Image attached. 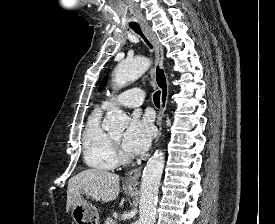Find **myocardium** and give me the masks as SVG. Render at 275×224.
Instances as JSON below:
<instances>
[{"label":"myocardium","mask_w":275,"mask_h":224,"mask_svg":"<svg viewBox=\"0 0 275 224\" xmlns=\"http://www.w3.org/2000/svg\"><path fill=\"white\" fill-rule=\"evenodd\" d=\"M110 141H111V145H112L117 162L120 164L129 163L131 161V157L122 150V148L120 147L119 141L115 140L111 135H110Z\"/></svg>","instance_id":"f54148a6"}]
</instances>
